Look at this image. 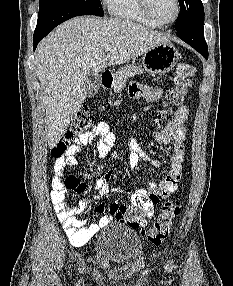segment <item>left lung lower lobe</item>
I'll list each match as a JSON object with an SVG mask.
<instances>
[{
    "label": "left lung lower lobe",
    "mask_w": 233,
    "mask_h": 286,
    "mask_svg": "<svg viewBox=\"0 0 233 286\" xmlns=\"http://www.w3.org/2000/svg\"><path fill=\"white\" fill-rule=\"evenodd\" d=\"M204 19L194 22L177 31L176 35L184 42L191 45L205 59H208V47L203 32Z\"/></svg>",
    "instance_id": "1"
}]
</instances>
